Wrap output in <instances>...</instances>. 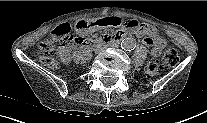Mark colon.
Masks as SVG:
<instances>
[{
	"mask_svg": "<svg viewBox=\"0 0 207 123\" xmlns=\"http://www.w3.org/2000/svg\"><path fill=\"white\" fill-rule=\"evenodd\" d=\"M52 39L38 44L36 48V55L38 59L45 65L52 68L57 66L53 53V41H60L62 43H79L84 44V38H74L71 35V26L68 23H62L56 26L52 33ZM179 62V53L175 48H169L161 60L150 61L145 68L148 76H155L163 68L173 67Z\"/></svg>",
	"mask_w": 207,
	"mask_h": 123,
	"instance_id": "1",
	"label": "colon"
}]
</instances>
